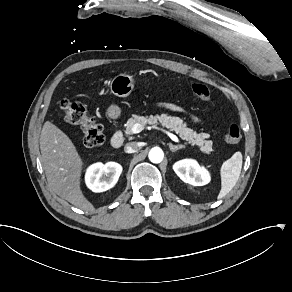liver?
<instances>
[{
  "mask_svg": "<svg viewBox=\"0 0 292 292\" xmlns=\"http://www.w3.org/2000/svg\"><path fill=\"white\" fill-rule=\"evenodd\" d=\"M40 150L43 170L52 190L75 207L93 211V205L80 189L82 160L68 136L49 121L41 131Z\"/></svg>",
  "mask_w": 292,
  "mask_h": 292,
  "instance_id": "liver-1",
  "label": "liver"
}]
</instances>
